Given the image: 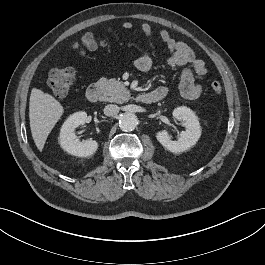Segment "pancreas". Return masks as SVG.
I'll list each match as a JSON object with an SVG mask.
<instances>
[{
  "label": "pancreas",
  "mask_w": 265,
  "mask_h": 265,
  "mask_svg": "<svg viewBox=\"0 0 265 265\" xmlns=\"http://www.w3.org/2000/svg\"><path fill=\"white\" fill-rule=\"evenodd\" d=\"M97 85L100 87L102 96L101 101L123 103L129 99L130 94L122 82L115 79L101 78Z\"/></svg>",
  "instance_id": "pancreas-1"
}]
</instances>
